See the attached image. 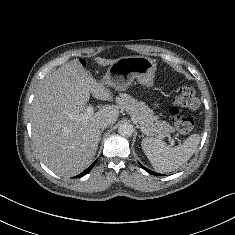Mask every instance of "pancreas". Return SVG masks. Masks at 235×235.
Returning a JSON list of instances; mask_svg holds the SVG:
<instances>
[{"mask_svg":"<svg viewBox=\"0 0 235 235\" xmlns=\"http://www.w3.org/2000/svg\"><path fill=\"white\" fill-rule=\"evenodd\" d=\"M119 108L127 111L131 117L152 136H163L173 131V127L165 122L158 120V116L143 102H138L132 96L121 93L116 98Z\"/></svg>","mask_w":235,"mask_h":235,"instance_id":"1","label":"pancreas"}]
</instances>
